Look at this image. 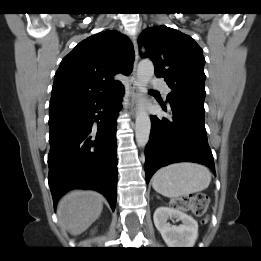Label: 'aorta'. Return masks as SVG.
Masks as SVG:
<instances>
[{
    "mask_svg": "<svg viewBox=\"0 0 261 261\" xmlns=\"http://www.w3.org/2000/svg\"><path fill=\"white\" fill-rule=\"evenodd\" d=\"M154 75L153 63L144 59L139 62L137 68V86L141 94L147 93L148 83ZM151 130L150 117L143 105L138 107L135 121V136L139 146L144 147L148 141Z\"/></svg>",
    "mask_w": 261,
    "mask_h": 261,
    "instance_id": "aorta-1",
    "label": "aorta"
}]
</instances>
